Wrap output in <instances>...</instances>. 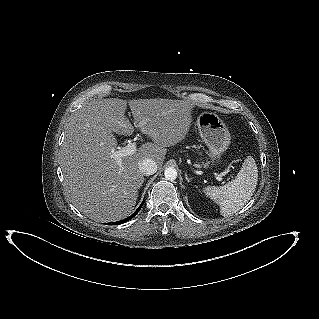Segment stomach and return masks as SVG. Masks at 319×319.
I'll return each mask as SVG.
<instances>
[{
  "label": "stomach",
  "instance_id": "0dacf381",
  "mask_svg": "<svg viewBox=\"0 0 319 319\" xmlns=\"http://www.w3.org/2000/svg\"><path fill=\"white\" fill-rule=\"evenodd\" d=\"M196 125L213 161L219 159L231 142V135L223 120L214 112L204 111L198 115Z\"/></svg>",
  "mask_w": 319,
  "mask_h": 319
}]
</instances>
